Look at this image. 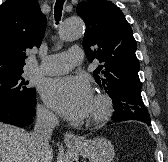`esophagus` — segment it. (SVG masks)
Here are the masks:
<instances>
[{
    "label": "esophagus",
    "instance_id": "1",
    "mask_svg": "<svg viewBox=\"0 0 168 162\" xmlns=\"http://www.w3.org/2000/svg\"><path fill=\"white\" fill-rule=\"evenodd\" d=\"M64 142L67 145H77L82 142V139L71 132H66L64 135Z\"/></svg>",
    "mask_w": 168,
    "mask_h": 162
}]
</instances>
